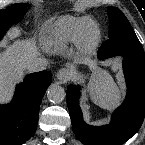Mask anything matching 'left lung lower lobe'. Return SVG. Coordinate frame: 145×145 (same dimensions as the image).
Returning <instances> with one entry per match:
<instances>
[{"mask_svg":"<svg viewBox=\"0 0 145 145\" xmlns=\"http://www.w3.org/2000/svg\"><path fill=\"white\" fill-rule=\"evenodd\" d=\"M115 56L103 45L98 57ZM123 70L127 84L124 103L114 112L111 123L105 126H90L83 121L78 97L80 86L69 85L66 91L67 105L74 133L85 145H120L136 134L145 116V59L123 55Z\"/></svg>","mask_w":145,"mask_h":145,"instance_id":"1","label":"left lung lower lobe"}]
</instances>
